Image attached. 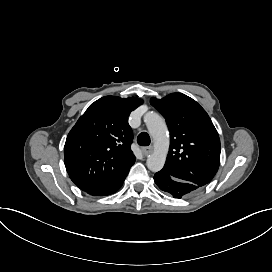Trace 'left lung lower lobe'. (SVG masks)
I'll return each instance as SVG.
<instances>
[{"label": "left lung lower lobe", "mask_w": 272, "mask_h": 272, "mask_svg": "<svg viewBox=\"0 0 272 272\" xmlns=\"http://www.w3.org/2000/svg\"><path fill=\"white\" fill-rule=\"evenodd\" d=\"M154 181L161 190L174 198H182L201 188L193 183L176 179L162 170L154 175Z\"/></svg>", "instance_id": "left-lung-lower-lobe-1"}]
</instances>
